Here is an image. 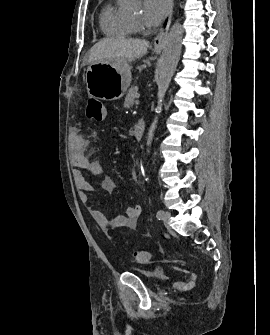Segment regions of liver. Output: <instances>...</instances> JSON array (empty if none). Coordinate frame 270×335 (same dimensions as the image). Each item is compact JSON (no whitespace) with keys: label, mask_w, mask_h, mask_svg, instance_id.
<instances>
[{"label":"liver","mask_w":270,"mask_h":335,"mask_svg":"<svg viewBox=\"0 0 270 335\" xmlns=\"http://www.w3.org/2000/svg\"><path fill=\"white\" fill-rule=\"evenodd\" d=\"M150 44L146 40H121V38H104L91 48L87 62H111V60H135L146 54Z\"/></svg>","instance_id":"6515ba94"}]
</instances>
